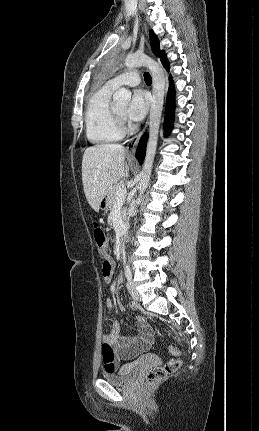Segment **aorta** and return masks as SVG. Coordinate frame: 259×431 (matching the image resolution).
<instances>
[{"mask_svg":"<svg viewBox=\"0 0 259 431\" xmlns=\"http://www.w3.org/2000/svg\"><path fill=\"white\" fill-rule=\"evenodd\" d=\"M127 69L145 66L149 69L153 80V98L150 108L149 139L146 148V155L141 171V179L138 185L139 196L135 201L136 206L142 201V196L148 186L153 162L155 158L160 120L163 109L165 94V75L161 66L153 59L144 54L128 55L125 59ZM131 100V92L128 89L120 88L113 95V103L117 107H126Z\"/></svg>","mask_w":259,"mask_h":431,"instance_id":"762f6f07","label":"aorta"}]
</instances>
